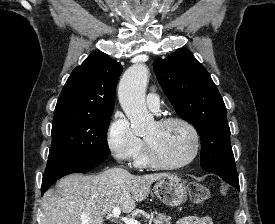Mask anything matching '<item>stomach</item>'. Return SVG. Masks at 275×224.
Instances as JSON below:
<instances>
[{
  "label": "stomach",
  "mask_w": 275,
  "mask_h": 224,
  "mask_svg": "<svg viewBox=\"0 0 275 224\" xmlns=\"http://www.w3.org/2000/svg\"><path fill=\"white\" fill-rule=\"evenodd\" d=\"M154 193L165 205L177 207L186 201L187 185L182 178L169 174L155 184Z\"/></svg>",
  "instance_id": "1"
}]
</instances>
